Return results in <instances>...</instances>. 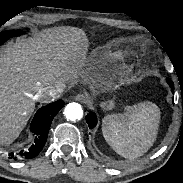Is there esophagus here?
I'll list each match as a JSON object with an SVG mask.
<instances>
[{
  "mask_svg": "<svg viewBox=\"0 0 183 183\" xmlns=\"http://www.w3.org/2000/svg\"><path fill=\"white\" fill-rule=\"evenodd\" d=\"M75 100L79 102H86L88 100V96L86 94H78L75 96Z\"/></svg>",
  "mask_w": 183,
  "mask_h": 183,
  "instance_id": "1",
  "label": "esophagus"
}]
</instances>
